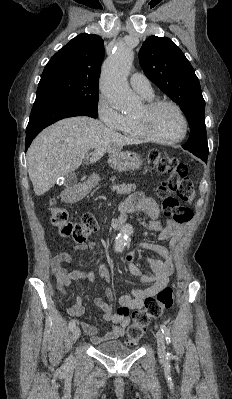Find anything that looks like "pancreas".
I'll use <instances>...</instances> for the list:
<instances>
[{"instance_id": "1", "label": "pancreas", "mask_w": 232, "mask_h": 399, "mask_svg": "<svg viewBox=\"0 0 232 399\" xmlns=\"http://www.w3.org/2000/svg\"><path fill=\"white\" fill-rule=\"evenodd\" d=\"M136 188V184H113L111 186L112 192H117V194H131V192H135Z\"/></svg>"}]
</instances>
